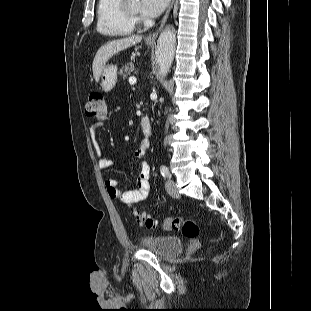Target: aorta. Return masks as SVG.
<instances>
[{
	"label": "aorta",
	"mask_w": 311,
	"mask_h": 311,
	"mask_svg": "<svg viewBox=\"0 0 311 311\" xmlns=\"http://www.w3.org/2000/svg\"><path fill=\"white\" fill-rule=\"evenodd\" d=\"M176 46L175 30L168 26L160 34L156 47V60L159 67V74L167 75L174 59Z\"/></svg>",
	"instance_id": "obj_1"
}]
</instances>
